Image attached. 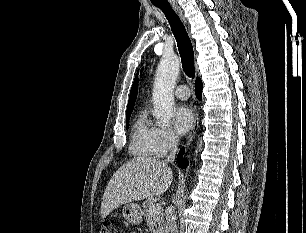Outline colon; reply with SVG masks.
<instances>
[{"label":"colon","mask_w":306,"mask_h":233,"mask_svg":"<svg viewBox=\"0 0 306 233\" xmlns=\"http://www.w3.org/2000/svg\"><path fill=\"white\" fill-rule=\"evenodd\" d=\"M101 233H116L115 226L112 223H104L101 226Z\"/></svg>","instance_id":"1"}]
</instances>
